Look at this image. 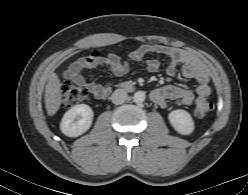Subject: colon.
Instances as JSON below:
<instances>
[{
	"label": "colon",
	"mask_w": 248,
	"mask_h": 195,
	"mask_svg": "<svg viewBox=\"0 0 248 195\" xmlns=\"http://www.w3.org/2000/svg\"><path fill=\"white\" fill-rule=\"evenodd\" d=\"M61 92L67 107H74L87 98V91L82 86L72 82H65ZM213 107V103L208 98L198 97L195 102L194 114L198 118H204L212 112Z\"/></svg>",
	"instance_id": "obj_1"
}]
</instances>
